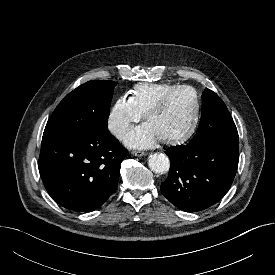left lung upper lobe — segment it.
<instances>
[{
    "label": "left lung upper lobe",
    "mask_w": 275,
    "mask_h": 275,
    "mask_svg": "<svg viewBox=\"0 0 275 275\" xmlns=\"http://www.w3.org/2000/svg\"><path fill=\"white\" fill-rule=\"evenodd\" d=\"M190 142H238V132L226 105L210 89L202 94L201 120Z\"/></svg>",
    "instance_id": "1"
}]
</instances>
